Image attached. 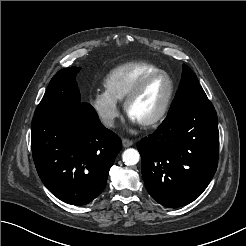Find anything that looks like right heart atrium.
I'll return each mask as SVG.
<instances>
[{
    "label": "right heart atrium",
    "mask_w": 246,
    "mask_h": 246,
    "mask_svg": "<svg viewBox=\"0 0 246 246\" xmlns=\"http://www.w3.org/2000/svg\"><path fill=\"white\" fill-rule=\"evenodd\" d=\"M91 105L100 121L107 127L115 126L120 115L117 101H115L106 91H97L91 100Z\"/></svg>",
    "instance_id": "obj_1"
}]
</instances>
